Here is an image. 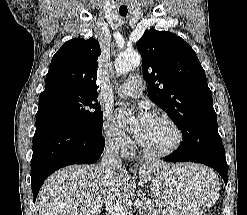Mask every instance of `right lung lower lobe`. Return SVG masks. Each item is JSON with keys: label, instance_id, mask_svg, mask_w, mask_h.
<instances>
[{"label": "right lung lower lobe", "instance_id": "obj_1", "mask_svg": "<svg viewBox=\"0 0 247 215\" xmlns=\"http://www.w3.org/2000/svg\"><path fill=\"white\" fill-rule=\"evenodd\" d=\"M104 146L101 130H92L57 115H37L31 160L34 201L51 173L72 164L96 162Z\"/></svg>", "mask_w": 247, "mask_h": 215}]
</instances>
